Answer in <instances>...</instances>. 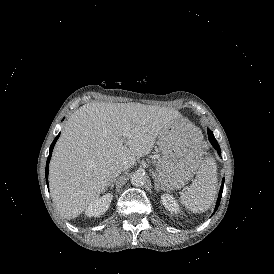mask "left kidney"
<instances>
[{
    "instance_id": "5707ae66",
    "label": "left kidney",
    "mask_w": 274,
    "mask_h": 274,
    "mask_svg": "<svg viewBox=\"0 0 274 274\" xmlns=\"http://www.w3.org/2000/svg\"><path fill=\"white\" fill-rule=\"evenodd\" d=\"M161 199L163 205L167 210H169L170 212H178L179 208L174 198L168 195H163Z\"/></svg>"
}]
</instances>
